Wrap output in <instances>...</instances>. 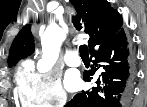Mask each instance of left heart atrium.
<instances>
[{
    "label": "left heart atrium",
    "mask_w": 147,
    "mask_h": 107,
    "mask_svg": "<svg viewBox=\"0 0 147 107\" xmlns=\"http://www.w3.org/2000/svg\"><path fill=\"white\" fill-rule=\"evenodd\" d=\"M80 79L74 72H68L66 76V85L70 90H76L80 86Z\"/></svg>",
    "instance_id": "39dd6f15"
}]
</instances>
